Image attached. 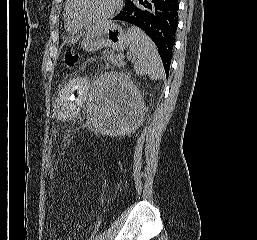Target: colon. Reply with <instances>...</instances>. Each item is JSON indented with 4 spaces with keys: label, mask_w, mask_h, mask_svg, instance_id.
Masks as SVG:
<instances>
[{
    "label": "colon",
    "mask_w": 257,
    "mask_h": 240,
    "mask_svg": "<svg viewBox=\"0 0 257 240\" xmlns=\"http://www.w3.org/2000/svg\"><path fill=\"white\" fill-rule=\"evenodd\" d=\"M79 61L78 53L74 51H67L64 55V63L68 68L75 67ZM54 163V152L53 146L51 143L47 147V160H46V169L50 173L53 168Z\"/></svg>",
    "instance_id": "colon-1"
}]
</instances>
